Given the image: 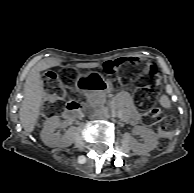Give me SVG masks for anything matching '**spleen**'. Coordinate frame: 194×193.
I'll return each instance as SVG.
<instances>
[{
	"label": "spleen",
	"instance_id": "obj_1",
	"mask_svg": "<svg viewBox=\"0 0 194 193\" xmlns=\"http://www.w3.org/2000/svg\"><path fill=\"white\" fill-rule=\"evenodd\" d=\"M160 104L164 107V108H171V103L170 100L168 99V97L166 95H163L160 98Z\"/></svg>",
	"mask_w": 194,
	"mask_h": 193
}]
</instances>
